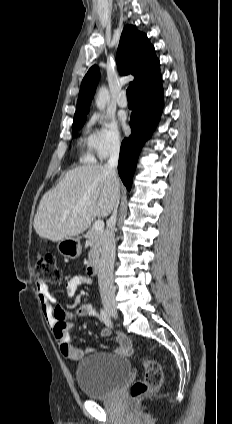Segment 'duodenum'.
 <instances>
[{
    "instance_id": "obj_1",
    "label": "duodenum",
    "mask_w": 232,
    "mask_h": 424,
    "mask_svg": "<svg viewBox=\"0 0 232 424\" xmlns=\"http://www.w3.org/2000/svg\"><path fill=\"white\" fill-rule=\"evenodd\" d=\"M99 270V261L96 257L92 258L87 266V274L94 276L98 273Z\"/></svg>"
}]
</instances>
